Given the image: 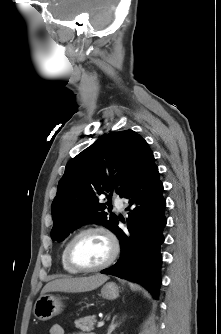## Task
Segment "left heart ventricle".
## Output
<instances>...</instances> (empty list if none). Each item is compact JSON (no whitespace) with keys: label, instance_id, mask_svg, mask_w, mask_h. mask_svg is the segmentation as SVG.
I'll return each instance as SVG.
<instances>
[{"label":"left heart ventricle","instance_id":"b2bd125f","mask_svg":"<svg viewBox=\"0 0 221 334\" xmlns=\"http://www.w3.org/2000/svg\"><path fill=\"white\" fill-rule=\"evenodd\" d=\"M111 244L101 232H88L80 236L73 244V261L82 267L102 264L110 255Z\"/></svg>","mask_w":221,"mask_h":334}]
</instances>
